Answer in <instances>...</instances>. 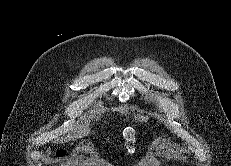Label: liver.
<instances>
[{"instance_id": "1", "label": "liver", "mask_w": 231, "mask_h": 166, "mask_svg": "<svg viewBox=\"0 0 231 166\" xmlns=\"http://www.w3.org/2000/svg\"><path fill=\"white\" fill-rule=\"evenodd\" d=\"M135 120H138L139 122H146L148 120V117H144L142 115H135ZM89 131V127L88 125L85 124H80L78 126H76L71 133H68L66 135H64L63 137H61L60 139H57L55 142L58 143H64V142H68L70 140H75L78 138H82L84 137Z\"/></svg>"}]
</instances>
